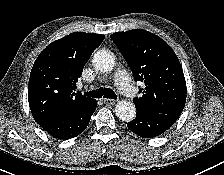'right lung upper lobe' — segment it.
<instances>
[{
	"instance_id": "obj_1",
	"label": "right lung upper lobe",
	"mask_w": 224,
	"mask_h": 175,
	"mask_svg": "<svg viewBox=\"0 0 224 175\" xmlns=\"http://www.w3.org/2000/svg\"><path fill=\"white\" fill-rule=\"evenodd\" d=\"M105 36L74 32L49 44L37 57L29 78L28 101L40 125L95 100L75 93L76 82Z\"/></svg>"
}]
</instances>
